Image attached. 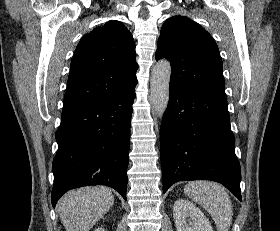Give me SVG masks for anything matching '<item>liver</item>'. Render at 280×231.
I'll list each match as a JSON object with an SVG mask.
<instances>
[{
  "instance_id": "6515ba94",
  "label": "liver",
  "mask_w": 280,
  "mask_h": 231,
  "mask_svg": "<svg viewBox=\"0 0 280 231\" xmlns=\"http://www.w3.org/2000/svg\"><path fill=\"white\" fill-rule=\"evenodd\" d=\"M114 203L110 187L70 189L58 203L66 231H89Z\"/></svg>"
}]
</instances>
